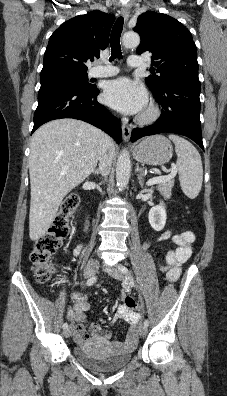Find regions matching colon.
<instances>
[{
	"instance_id": "obj_1",
	"label": "colon",
	"mask_w": 227,
	"mask_h": 396,
	"mask_svg": "<svg viewBox=\"0 0 227 396\" xmlns=\"http://www.w3.org/2000/svg\"><path fill=\"white\" fill-rule=\"evenodd\" d=\"M78 202V197H68L63 202L60 212L54 218L48 231L34 244L30 260L34 265L36 280L40 284L47 283L54 273L53 256L68 234L69 219L77 208ZM125 304L138 311L140 310V307L132 298H127Z\"/></svg>"
}]
</instances>
